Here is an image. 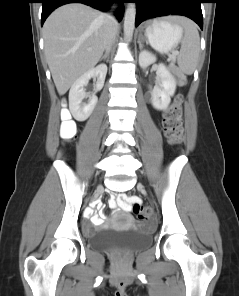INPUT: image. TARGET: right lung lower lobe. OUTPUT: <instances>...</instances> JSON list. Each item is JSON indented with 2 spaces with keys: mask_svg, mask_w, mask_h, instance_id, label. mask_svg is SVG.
Instances as JSON below:
<instances>
[{
  "mask_svg": "<svg viewBox=\"0 0 239 296\" xmlns=\"http://www.w3.org/2000/svg\"><path fill=\"white\" fill-rule=\"evenodd\" d=\"M40 2L43 4L41 25L53 10L67 3H83L101 11H107L112 3H119L120 7L115 13L119 21H121L124 12V0H40Z\"/></svg>",
  "mask_w": 239,
  "mask_h": 296,
  "instance_id": "obj_1",
  "label": "right lung lower lobe"
}]
</instances>
